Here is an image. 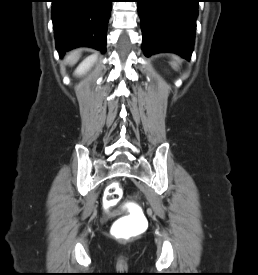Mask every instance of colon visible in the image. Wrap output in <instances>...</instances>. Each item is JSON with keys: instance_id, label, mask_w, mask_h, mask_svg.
<instances>
[{"instance_id": "1", "label": "colon", "mask_w": 258, "mask_h": 275, "mask_svg": "<svg viewBox=\"0 0 258 275\" xmlns=\"http://www.w3.org/2000/svg\"><path fill=\"white\" fill-rule=\"evenodd\" d=\"M121 187L117 183H113L108 187L106 200L107 201H116L121 196ZM113 234L120 238H128L129 232L121 229L119 226H116L113 230Z\"/></svg>"}]
</instances>
